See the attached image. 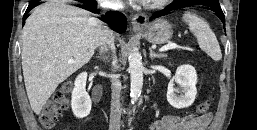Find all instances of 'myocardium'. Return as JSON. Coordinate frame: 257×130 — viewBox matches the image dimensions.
<instances>
[{
    "instance_id": "myocardium-1",
    "label": "myocardium",
    "mask_w": 257,
    "mask_h": 130,
    "mask_svg": "<svg viewBox=\"0 0 257 130\" xmlns=\"http://www.w3.org/2000/svg\"><path fill=\"white\" fill-rule=\"evenodd\" d=\"M170 1L171 0H152V1H146L144 5L149 9H158L165 6Z\"/></svg>"
}]
</instances>
